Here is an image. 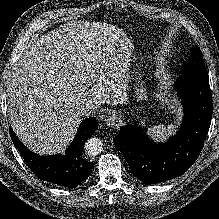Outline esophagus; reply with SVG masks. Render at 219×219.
I'll list each match as a JSON object with an SVG mask.
<instances>
[{"mask_svg": "<svg viewBox=\"0 0 219 219\" xmlns=\"http://www.w3.org/2000/svg\"><path fill=\"white\" fill-rule=\"evenodd\" d=\"M104 122L107 126L115 127L121 123V117L117 112L110 111L104 117Z\"/></svg>", "mask_w": 219, "mask_h": 219, "instance_id": "esophagus-1", "label": "esophagus"}]
</instances>
